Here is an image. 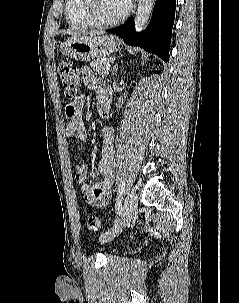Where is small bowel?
I'll return each mask as SVG.
<instances>
[{
  "mask_svg": "<svg viewBox=\"0 0 239 303\" xmlns=\"http://www.w3.org/2000/svg\"><path fill=\"white\" fill-rule=\"evenodd\" d=\"M81 79L88 89L96 92L98 106L109 107L111 91L107 83L103 79L96 78L88 68L81 70ZM84 102V96H81L65 107L66 135L77 141L87 139L86 126L82 116ZM103 136L102 156L98 163V171L102 179L94 184H86L88 166L83 163L75 165V178L78 183L82 184V195L88 203L96 207H104L109 203L114 183V132L111 128H106L103 131Z\"/></svg>",
  "mask_w": 239,
  "mask_h": 303,
  "instance_id": "obj_1",
  "label": "small bowel"
}]
</instances>
